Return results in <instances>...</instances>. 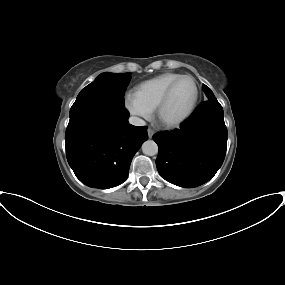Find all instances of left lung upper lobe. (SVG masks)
Here are the masks:
<instances>
[{
	"label": "left lung upper lobe",
	"instance_id": "obj_1",
	"mask_svg": "<svg viewBox=\"0 0 285 285\" xmlns=\"http://www.w3.org/2000/svg\"><path fill=\"white\" fill-rule=\"evenodd\" d=\"M203 90L205 92V94L207 95L208 97V100L210 99H216L213 92L210 90L209 87H207L206 85L203 84Z\"/></svg>",
	"mask_w": 285,
	"mask_h": 285
}]
</instances>
